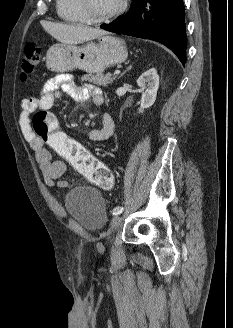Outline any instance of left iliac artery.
Segmentation results:
<instances>
[{
  "instance_id": "44dca946",
  "label": "left iliac artery",
  "mask_w": 233,
  "mask_h": 328,
  "mask_svg": "<svg viewBox=\"0 0 233 328\" xmlns=\"http://www.w3.org/2000/svg\"><path fill=\"white\" fill-rule=\"evenodd\" d=\"M123 210H124V208L122 206L115 207L112 211V214L119 215L122 213Z\"/></svg>"
}]
</instances>
